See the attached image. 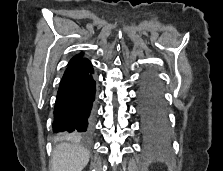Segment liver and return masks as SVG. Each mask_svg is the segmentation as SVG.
<instances>
[{
	"label": "liver",
	"mask_w": 223,
	"mask_h": 171,
	"mask_svg": "<svg viewBox=\"0 0 223 171\" xmlns=\"http://www.w3.org/2000/svg\"><path fill=\"white\" fill-rule=\"evenodd\" d=\"M89 158V152L82 147L69 143L59 144L53 151L51 171H82Z\"/></svg>",
	"instance_id": "6515ba94"
}]
</instances>
